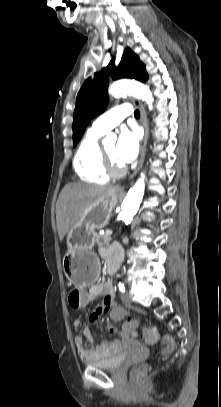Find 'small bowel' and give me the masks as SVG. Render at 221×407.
Returning a JSON list of instances; mask_svg holds the SVG:
<instances>
[{
  "mask_svg": "<svg viewBox=\"0 0 221 407\" xmlns=\"http://www.w3.org/2000/svg\"><path fill=\"white\" fill-rule=\"evenodd\" d=\"M117 248L111 249H102L101 255L103 257H109ZM89 287V294L87 295L88 303L100 296H103V301L100 307L96 310L94 314L91 316L92 321H96L99 315L103 312L108 313L109 310L113 309L114 305H119L115 301L114 295V288L111 281H98L87 285ZM126 310V309H125ZM111 319V317H110ZM112 320V319H111ZM113 321V320H112ZM118 322V321H116ZM82 326V320L76 319L74 321V327L80 328ZM106 329L109 333L114 334L116 333V328L109 324L106 326ZM133 330H124V332L128 333ZM75 346L78 352L79 357L83 361L89 360H98L108 357L112 354L117 347L119 346V341H114L112 343H101L97 346H93V340L88 338L85 340L82 336H76L74 339ZM91 345V347L88 346Z\"/></svg>",
  "mask_w": 221,
  "mask_h": 407,
  "instance_id": "1",
  "label": "small bowel"
}]
</instances>
